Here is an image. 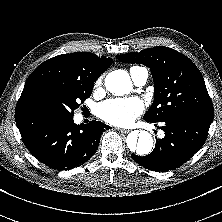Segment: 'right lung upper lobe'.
<instances>
[{
    "label": "right lung upper lobe",
    "instance_id": "right-lung-upper-lobe-1",
    "mask_svg": "<svg viewBox=\"0 0 222 222\" xmlns=\"http://www.w3.org/2000/svg\"><path fill=\"white\" fill-rule=\"evenodd\" d=\"M111 63V58L98 57L90 52L61 54L46 60L28 77L18 100L15 114L30 111L32 96L48 83L56 81L94 83Z\"/></svg>",
    "mask_w": 222,
    "mask_h": 222
}]
</instances>
